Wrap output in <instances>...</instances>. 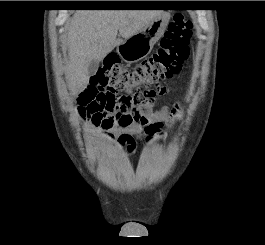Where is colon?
<instances>
[{"instance_id": "obj_1", "label": "colon", "mask_w": 265, "mask_h": 245, "mask_svg": "<svg viewBox=\"0 0 265 245\" xmlns=\"http://www.w3.org/2000/svg\"><path fill=\"white\" fill-rule=\"evenodd\" d=\"M191 34L192 23L177 14L158 49L136 67L124 68L116 55L107 56L90 79L99 93L88 110L90 121L96 126L128 125L135 121L148 135L161 131L163 122L151 121L145 115L152 110L156 99L165 94L160 83L181 72L189 57Z\"/></svg>"}]
</instances>
